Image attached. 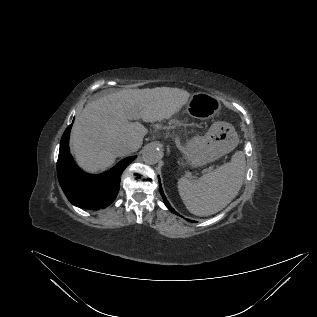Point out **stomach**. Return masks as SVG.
<instances>
[{"mask_svg":"<svg viewBox=\"0 0 317 317\" xmlns=\"http://www.w3.org/2000/svg\"><path fill=\"white\" fill-rule=\"evenodd\" d=\"M191 103L206 107V118L214 117L220 110L218 99L199 92L191 98ZM239 143L235 128L226 122H214L204 136H194L182 147L187 162L192 167H201L231 152Z\"/></svg>","mask_w":317,"mask_h":317,"instance_id":"stomach-1","label":"stomach"}]
</instances>
